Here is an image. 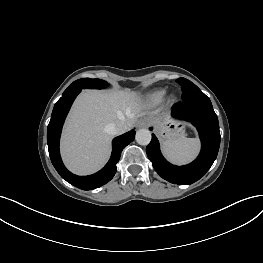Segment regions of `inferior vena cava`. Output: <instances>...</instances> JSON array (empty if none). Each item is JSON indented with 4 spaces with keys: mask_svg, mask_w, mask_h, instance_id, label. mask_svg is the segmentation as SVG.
I'll list each match as a JSON object with an SVG mask.
<instances>
[{
    "mask_svg": "<svg viewBox=\"0 0 263 263\" xmlns=\"http://www.w3.org/2000/svg\"><path fill=\"white\" fill-rule=\"evenodd\" d=\"M128 129L127 124L123 120L110 123L106 126L107 132L112 135H119L126 132Z\"/></svg>",
    "mask_w": 263,
    "mask_h": 263,
    "instance_id": "inferior-vena-cava-1",
    "label": "inferior vena cava"
}]
</instances>
